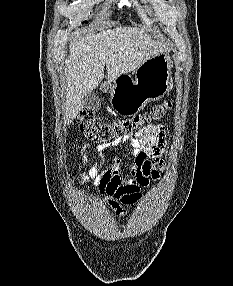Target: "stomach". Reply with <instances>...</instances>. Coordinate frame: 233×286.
Wrapping results in <instances>:
<instances>
[{"label": "stomach", "instance_id": "1", "mask_svg": "<svg viewBox=\"0 0 233 286\" xmlns=\"http://www.w3.org/2000/svg\"><path fill=\"white\" fill-rule=\"evenodd\" d=\"M171 69V57L164 51L139 66L134 80L129 76H119L112 85L107 84L114 111L124 116H132L140 112L148 102L162 98L170 87Z\"/></svg>", "mask_w": 233, "mask_h": 286}]
</instances>
